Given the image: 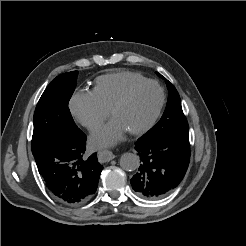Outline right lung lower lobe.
I'll return each mask as SVG.
<instances>
[{"instance_id":"obj_1","label":"right lung lower lobe","mask_w":246,"mask_h":246,"mask_svg":"<svg viewBox=\"0 0 246 246\" xmlns=\"http://www.w3.org/2000/svg\"><path fill=\"white\" fill-rule=\"evenodd\" d=\"M86 139L78 128L72 135L56 136L33 152L47 188L64 204H81L97 189L103 166L96 153L85 156Z\"/></svg>"}]
</instances>
